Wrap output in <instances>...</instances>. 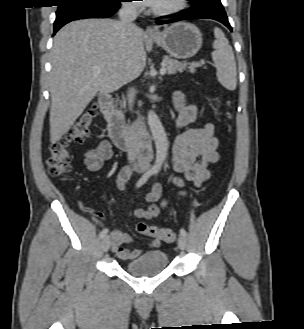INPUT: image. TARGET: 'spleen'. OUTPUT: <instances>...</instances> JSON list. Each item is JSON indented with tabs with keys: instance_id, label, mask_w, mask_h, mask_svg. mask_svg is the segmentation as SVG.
<instances>
[{
	"instance_id": "3e777b00",
	"label": "spleen",
	"mask_w": 304,
	"mask_h": 329,
	"mask_svg": "<svg viewBox=\"0 0 304 329\" xmlns=\"http://www.w3.org/2000/svg\"><path fill=\"white\" fill-rule=\"evenodd\" d=\"M216 40L213 43L215 49L212 59L217 68V78L223 87L228 90H235L237 85L236 62L232 47L221 29H214Z\"/></svg>"
}]
</instances>
